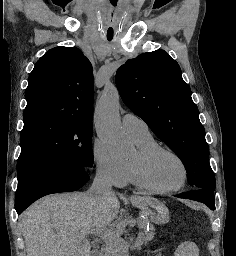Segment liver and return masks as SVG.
Instances as JSON below:
<instances>
[{"mask_svg":"<svg viewBox=\"0 0 236 256\" xmlns=\"http://www.w3.org/2000/svg\"><path fill=\"white\" fill-rule=\"evenodd\" d=\"M116 196L95 200L85 194H50L22 214L27 256H91L89 234L109 226L119 214Z\"/></svg>","mask_w":236,"mask_h":256,"instance_id":"liver-1","label":"liver"}]
</instances>
